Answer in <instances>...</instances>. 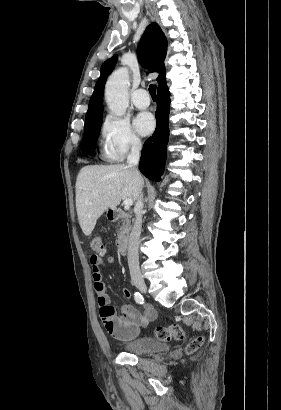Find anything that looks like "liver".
<instances>
[{
  "mask_svg": "<svg viewBox=\"0 0 281 410\" xmlns=\"http://www.w3.org/2000/svg\"><path fill=\"white\" fill-rule=\"evenodd\" d=\"M143 184L140 173L124 164L83 167L76 180V210L83 233L89 236L101 215L121 200H137Z\"/></svg>",
  "mask_w": 281,
  "mask_h": 410,
  "instance_id": "obj_1",
  "label": "liver"
}]
</instances>
